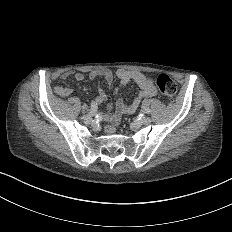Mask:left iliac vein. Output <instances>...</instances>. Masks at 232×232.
I'll return each mask as SVG.
<instances>
[{
  "label": "left iliac vein",
  "mask_w": 232,
  "mask_h": 232,
  "mask_svg": "<svg viewBox=\"0 0 232 232\" xmlns=\"http://www.w3.org/2000/svg\"><path fill=\"white\" fill-rule=\"evenodd\" d=\"M151 122H152V119L150 117H147V118L144 119V124L145 125H150Z\"/></svg>",
  "instance_id": "obj_1"
}]
</instances>
